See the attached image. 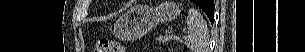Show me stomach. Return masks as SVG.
<instances>
[{
	"label": "stomach",
	"mask_w": 305,
	"mask_h": 52,
	"mask_svg": "<svg viewBox=\"0 0 305 52\" xmlns=\"http://www.w3.org/2000/svg\"><path fill=\"white\" fill-rule=\"evenodd\" d=\"M180 14V7L173 1H165L157 7L136 5L126 11L114 24L116 36L135 40L159 23L169 22Z\"/></svg>",
	"instance_id": "obj_1"
}]
</instances>
